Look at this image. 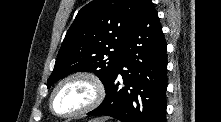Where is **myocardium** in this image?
<instances>
[{"instance_id": "1", "label": "myocardium", "mask_w": 221, "mask_h": 122, "mask_svg": "<svg viewBox=\"0 0 221 122\" xmlns=\"http://www.w3.org/2000/svg\"><path fill=\"white\" fill-rule=\"evenodd\" d=\"M73 80H83L86 81L87 83H89L93 89V96L91 101L84 106L82 109L76 111V112H72V113H59L55 110L54 108V97L56 95V93L58 92V90L65 85L68 82H71ZM106 95V90H105V86L104 83L102 82V80L93 72H89V71H76V72H72L68 75H66L65 77H63L62 79H60L57 84L54 86L51 94H50V98H49V108L51 110V112L56 115L57 117H61V118H75V117H79L82 115H85L89 112H91L92 110L96 109L104 100Z\"/></svg>"}]
</instances>
